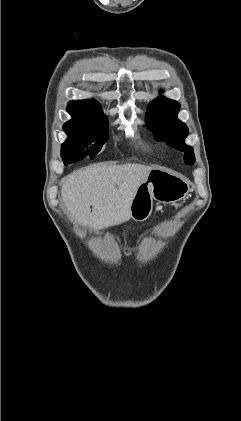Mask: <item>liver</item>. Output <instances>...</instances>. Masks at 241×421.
Returning <instances> with one entry per match:
<instances>
[{
	"label": "liver",
	"mask_w": 241,
	"mask_h": 421,
	"mask_svg": "<svg viewBox=\"0 0 241 421\" xmlns=\"http://www.w3.org/2000/svg\"><path fill=\"white\" fill-rule=\"evenodd\" d=\"M152 169L136 163L80 169L65 178L63 203L71 218L83 226L104 229L120 225L130 218L137 188Z\"/></svg>",
	"instance_id": "liver-1"
}]
</instances>
